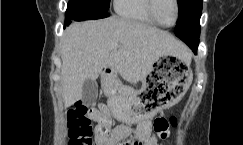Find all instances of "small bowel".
Listing matches in <instances>:
<instances>
[{"label":"small bowel","mask_w":243,"mask_h":145,"mask_svg":"<svg viewBox=\"0 0 243 145\" xmlns=\"http://www.w3.org/2000/svg\"><path fill=\"white\" fill-rule=\"evenodd\" d=\"M93 118L97 123L104 118L110 121L108 109L100 105L94 109ZM167 136L168 132L166 136L156 133L150 120L145 119L138 123L135 131L126 126H117L105 137L96 136L95 142L96 145H158V137L166 138Z\"/></svg>","instance_id":"1"}]
</instances>
